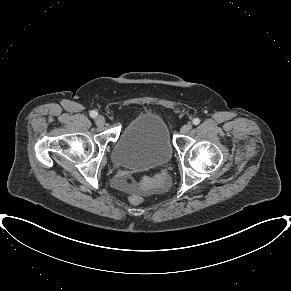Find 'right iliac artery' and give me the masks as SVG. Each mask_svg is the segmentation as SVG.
<instances>
[{"label": "right iliac artery", "instance_id": "right-iliac-artery-1", "mask_svg": "<svg viewBox=\"0 0 291 291\" xmlns=\"http://www.w3.org/2000/svg\"><path fill=\"white\" fill-rule=\"evenodd\" d=\"M97 112L95 111V110H92L91 112H90V116L92 117V118H95L96 116H97Z\"/></svg>", "mask_w": 291, "mask_h": 291}]
</instances>
